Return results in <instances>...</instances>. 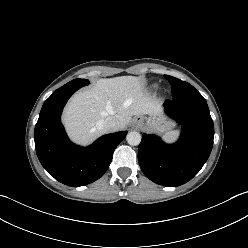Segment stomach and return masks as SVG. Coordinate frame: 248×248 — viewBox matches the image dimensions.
<instances>
[{"label":"stomach","instance_id":"obj_1","mask_svg":"<svg viewBox=\"0 0 248 248\" xmlns=\"http://www.w3.org/2000/svg\"><path fill=\"white\" fill-rule=\"evenodd\" d=\"M144 120L143 117H141ZM145 128L149 131H154L158 133H164L169 129V124L166 120L159 116H153L145 119Z\"/></svg>","mask_w":248,"mask_h":248}]
</instances>
